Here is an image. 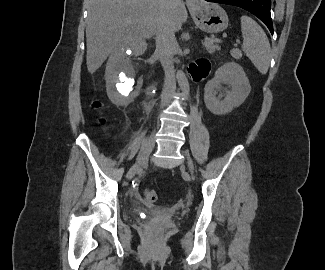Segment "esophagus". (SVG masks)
<instances>
[{
  "label": "esophagus",
  "instance_id": "obj_1",
  "mask_svg": "<svg viewBox=\"0 0 325 270\" xmlns=\"http://www.w3.org/2000/svg\"><path fill=\"white\" fill-rule=\"evenodd\" d=\"M188 8H195L198 6V0H186Z\"/></svg>",
  "mask_w": 325,
  "mask_h": 270
}]
</instances>
